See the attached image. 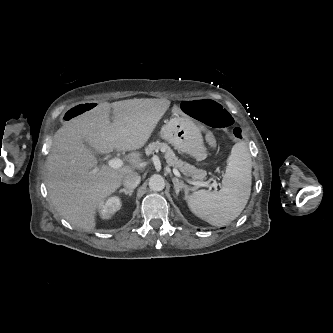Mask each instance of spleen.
<instances>
[{"label":"spleen","instance_id":"obj_1","mask_svg":"<svg viewBox=\"0 0 333 333\" xmlns=\"http://www.w3.org/2000/svg\"><path fill=\"white\" fill-rule=\"evenodd\" d=\"M252 159L245 142L236 143L228 157L219 191L199 190L189 195L187 204L198 218L211 225H227L245 208L251 192Z\"/></svg>","mask_w":333,"mask_h":333}]
</instances>
